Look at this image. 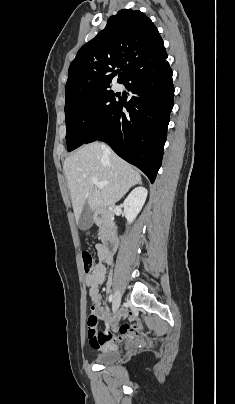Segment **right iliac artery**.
Wrapping results in <instances>:
<instances>
[{"label": "right iliac artery", "instance_id": "obj_1", "mask_svg": "<svg viewBox=\"0 0 235 404\" xmlns=\"http://www.w3.org/2000/svg\"><path fill=\"white\" fill-rule=\"evenodd\" d=\"M112 300H113V295L111 294V295L109 296V302H112Z\"/></svg>", "mask_w": 235, "mask_h": 404}]
</instances>
